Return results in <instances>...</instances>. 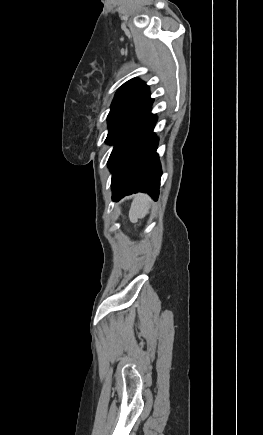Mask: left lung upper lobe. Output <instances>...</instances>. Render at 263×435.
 Masks as SVG:
<instances>
[{
    "instance_id": "left-lung-upper-lobe-1",
    "label": "left lung upper lobe",
    "mask_w": 263,
    "mask_h": 435,
    "mask_svg": "<svg viewBox=\"0 0 263 435\" xmlns=\"http://www.w3.org/2000/svg\"><path fill=\"white\" fill-rule=\"evenodd\" d=\"M153 103L148 86L134 78L123 84L111 104L106 143L113 144L124 129Z\"/></svg>"
}]
</instances>
